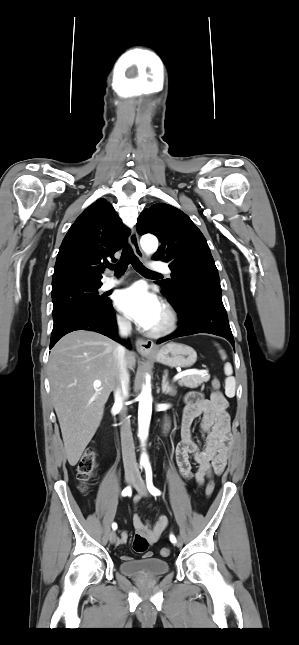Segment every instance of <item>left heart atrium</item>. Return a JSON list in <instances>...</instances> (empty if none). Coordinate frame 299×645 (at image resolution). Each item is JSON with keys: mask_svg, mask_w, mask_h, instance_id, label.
Segmentation results:
<instances>
[{"mask_svg": "<svg viewBox=\"0 0 299 645\" xmlns=\"http://www.w3.org/2000/svg\"><path fill=\"white\" fill-rule=\"evenodd\" d=\"M115 304L121 312L145 329L154 326L162 311L158 298L141 284L119 291Z\"/></svg>", "mask_w": 299, "mask_h": 645, "instance_id": "1", "label": "left heart atrium"}]
</instances>
